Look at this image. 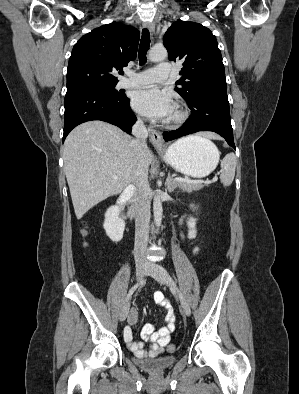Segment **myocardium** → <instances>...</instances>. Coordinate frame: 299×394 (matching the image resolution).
Returning a JSON list of instances; mask_svg holds the SVG:
<instances>
[{
    "label": "myocardium",
    "instance_id": "myocardium-1",
    "mask_svg": "<svg viewBox=\"0 0 299 394\" xmlns=\"http://www.w3.org/2000/svg\"><path fill=\"white\" fill-rule=\"evenodd\" d=\"M188 118V111L181 104L177 103L175 105V114L169 117L166 124L171 127L179 126L183 124Z\"/></svg>",
    "mask_w": 299,
    "mask_h": 394
}]
</instances>
